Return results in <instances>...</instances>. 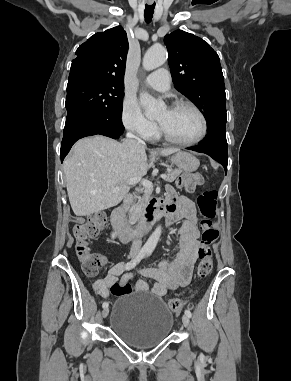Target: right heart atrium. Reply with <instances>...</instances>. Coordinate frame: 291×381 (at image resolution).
Instances as JSON below:
<instances>
[{
	"instance_id": "1",
	"label": "right heart atrium",
	"mask_w": 291,
	"mask_h": 381,
	"mask_svg": "<svg viewBox=\"0 0 291 381\" xmlns=\"http://www.w3.org/2000/svg\"><path fill=\"white\" fill-rule=\"evenodd\" d=\"M121 121L127 130L146 139L151 138L156 132V125L148 120L137 103L129 98L123 100Z\"/></svg>"
}]
</instances>
